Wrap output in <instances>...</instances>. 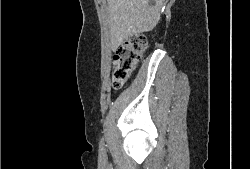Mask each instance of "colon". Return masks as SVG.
<instances>
[{
    "instance_id": "5ec220e1",
    "label": "colon",
    "mask_w": 250,
    "mask_h": 169,
    "mask_svg": "<svg viewBox=\"0 0 250 169\" xmlns=\"http://www.w3.org/2000/svg\"><path fill=\"white\" fill-rule=\"evenodd\" d=\"M131 38H122L114 55V68L111 75L112 85L120 89L133 74L145 49V43H151L146 34H132Z\"/></svg>"
}]
</instances>
